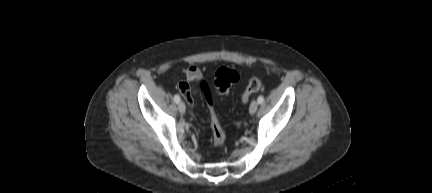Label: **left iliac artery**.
Returning <instances> with one entry per match:
<instances>
[{"label":"left iliac artery","instance_id":"obj_1","mask_svg":"<svg viewBox=\"0 0 432 193\" xmlns=\"http://www.w3.org/2000/svg\"><path fill=\"white\" fill-rule=\"evenodd\" d=\"M258 103L261 104L264 102V97L262 95H260L257 99Z\"/></svg>","mask_w":432,"mask_h":193}]
</instances>
